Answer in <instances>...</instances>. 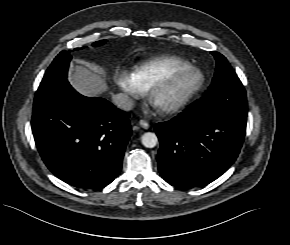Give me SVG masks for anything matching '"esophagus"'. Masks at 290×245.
I'll return each mask as SVG.
<instances>
[{"label":"esophagus","instance_id":"34e87169","mask_svg":"<svg viewBox=\"0 0 290 245\" xmlns=\"http://www.w3.org/2000/svg\"><path fill=\"white\" fill-rule=\"evenodd\" d=\"M139 125L144 129H148L150 127L149 123L143 119L139 121Z\"/></svg>","mask_w":290,"mask_h":245}]
</instances>
